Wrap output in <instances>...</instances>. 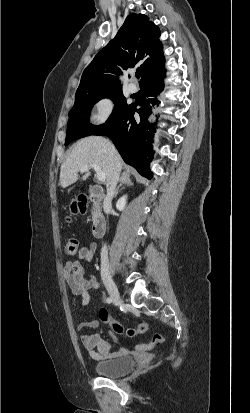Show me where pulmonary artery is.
Segmentation results:
<instances>
[{"mask_svg": "<svg viewBox=\"0 0 250 413\" xmlns=\"http://www.w3.org/2000/svg\"><path fill=\"white\" fill-rule=\"evenodd\" d=\"M127 87H128L129 92H131V93L137 92L138 88H137V85L135 83L130 82Z\"/></svg>", "mask_w": 250, "mask_h": 413, "instance_id": "pulmonary-artery-1", "label": "pulmonary artery"}]
</instances>
